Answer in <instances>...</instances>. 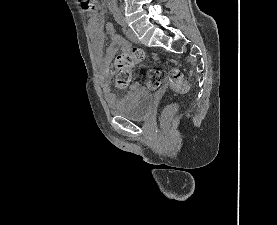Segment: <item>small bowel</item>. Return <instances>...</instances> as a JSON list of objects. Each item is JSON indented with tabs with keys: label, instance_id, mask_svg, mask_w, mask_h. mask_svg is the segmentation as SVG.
Returning a JSON list of instances; mask_svg holds the SVG:
<instances>
[{
	"label": "small bowel",
	"instance_id": "c3829d8e",
	"mask_svg": "<svg viewBox=\"0 0 277 225\" xmlns=\"http://www.w3.org/2000/svg\"><path fill=\"white\" fill-rule=\"evenodd\" d=\"M105 29L111 37V44L107 47L105 53H103L102 41L104 38V31L102 28L101 20L97 18L95 13L92 12L89 17V32L91 35L92 46L98 63L100 64L103 72L107 73L108 65L116 51L120 48L127 49L128 45L119 35L115 33L112 24L108 23ZM133 88H138V85L135 84ZM103 90L105 98L108 101H111L113 99V95L109 90L107 84L103 85Z\"/></svg>",
	"mask_w": 277,
	"mask_h": 225
}]
</instances>
